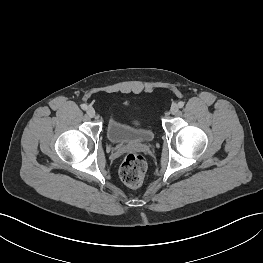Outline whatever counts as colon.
I'll return each mask as SVG.
<instances>
[{
  "mask_svg": "<svg viewBox=\"0 0 263 263\" xmlns=\"http://www.w3.org/2000/svg\"><path fill=\"white\" fill-rule=\"evenodd\" d=\"M146 169L147 162L142 154L128 153L120 166V178L131 188L139 187L144 180Z\"/></svg>",
  "mask_w": 263,
  "mask_h": 263,
  "instance_id": "5ec220e1",
  "label": "colon"
}]
</instances>
